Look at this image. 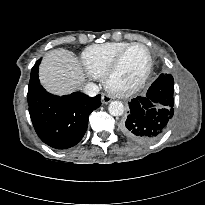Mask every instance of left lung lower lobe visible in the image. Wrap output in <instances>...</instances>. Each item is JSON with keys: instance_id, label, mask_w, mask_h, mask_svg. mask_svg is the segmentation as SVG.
Here are the masks:
<instances>
[{"instance_id": "left-lung-lower-lobe-1", "label": "left lung lower lobe", "mask_w": 205, "mask_h": 205, "mask_svg": "<svg viewBox=\"0 0 205 205\" xmlns=\"http://www.w3.org/2000/svg\"><path fill=\"white\" fill-rule=\"evenodd\" d=\"M164 89H149L129 103L130 111L122 124L123 133L140 143H151L167 130L173 114L174 100Z\"/></svg>"}]
</instances>
